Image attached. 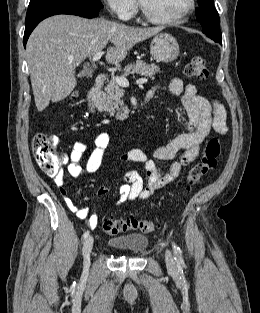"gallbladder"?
Masks as SVG:
<instances>
[{
  "instance_id": "obj_1",
  "label": "gallbladder",
  "mask_w": 260,
  "mask_h": 313,
  "mask_svg": "<svg viewBox=\"0 0 260 313\" xmlns=\"http://www.w3.org/2000/svg\"><path fill=\"white\" fill-rule=\"evenodd\" d=\"M91 72L83 70L82 72L79 73V77H84V76H90Z\"/></svg>"
}]
</instances>
